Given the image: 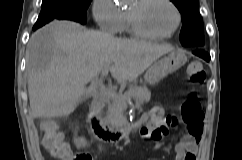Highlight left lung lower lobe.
<instances>
[{"label": "left lung lower lobe", "mask_w": 242, "mask_h": 160, "mask_svg": "<svg viewBox=\"0 0 242 160\" xmlns=\"http://www.w3.org/2000/svg\"><path fill=\"white\" fill-rule=\"evenodd\" d=\"M193 53L201 58H203L204 60H206L207 62L210 61V55L207 53L205 48H194Z\"/></svg>", "instance_id": "left-lung-lower-lobe-1"}]
</instances>
